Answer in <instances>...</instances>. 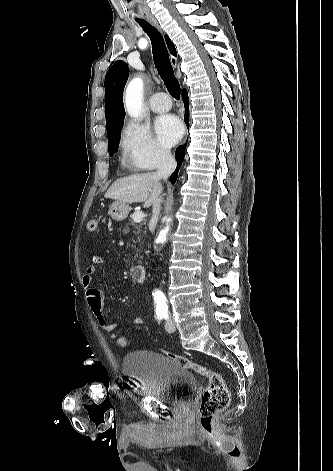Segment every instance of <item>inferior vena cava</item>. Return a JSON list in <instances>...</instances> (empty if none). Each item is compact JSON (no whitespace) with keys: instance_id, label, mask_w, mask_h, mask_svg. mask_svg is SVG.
<instances>
[{"instance_id":"1","label":"inferior vena cava","mask_w":333,"mask_h":471,"mask_svg":"<svg viewBox=\"0 0 333 471\" xmlns=\"http://www.w3.org/2000/svg\"><path fill=\"white\" fill-rule=\"evenodd\" d=\"M175 168H176V162L172 154L169 151H165V150L160 151L156 176L160 179L162 178L166 180L173 173ZM160 203H161V199L157 200L153 204L152 218L150 221V230L152 232L154 231V227L158 221V217L160 214V209H161Z\"/></svg>"}]
</instances>
